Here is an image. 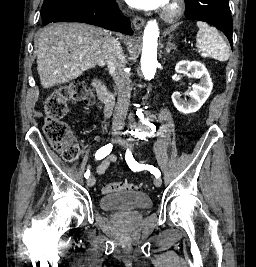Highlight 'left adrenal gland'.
Masks as SVG:
<instances>
[{
  "mask_svg": "<svg viewBox=\"0 0 256 267\" xmlns=\"http://www.w3.org/2000/svg\"><path fill=\"white\" fill-rule=\"evenodd\" d=\"M171 50H176V46H175V44H172L171 40H169V42L166 46L167 54H170Z\"/></svg>",
  "mask_w": 256,
  "mask_h": 267,
  "instance_id": "a2214340",
  "label": "left adrenal gland"
}]
</instances>
